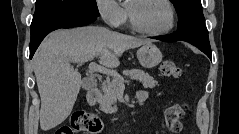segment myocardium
Instances as JSON below:
<instances>
[{"label":"myocardium","mask_w":239,"mask_h":134,"mask_svg":"<svg viewBox=\"0 0 239 134\" xmlns=\"http://www.w3.org/2000/svg\"><path fill=\"white\" fill-rule=\"evenodd\" d=\"M132 1L134 3H138V2H143L146 0H132ZM158 1L162 2L169 10L170 19H169L168 25L161 30L146 29L143 26H141L138 23V21L136 20V17L133 13L132 6H127L129 23H130L131 28L134 31H136L140 34L148 35V36H162V35L169 33L173 29V27L175 25V21H176V14H175V9H174L172 3L169 0H158Z\"/></svg>","instance_id":"myocardium-1"}]
</instances>
